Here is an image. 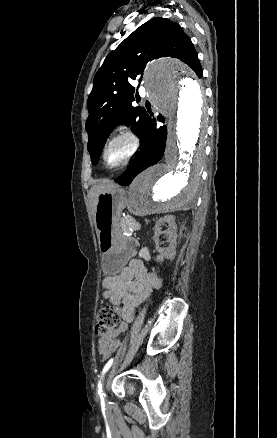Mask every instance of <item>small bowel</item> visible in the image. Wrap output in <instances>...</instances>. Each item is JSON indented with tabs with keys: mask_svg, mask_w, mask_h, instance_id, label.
<instances>
[{
	"mask_svg": "<svg viewBox=\"0 0 277 438\" xmlns=\"http://www.w3.org/2000/svg\"><path fill=\"white\" fill-rule=\"evenodd\" d=\"M137 253L138 257L131 258L119 273L106 276L102 282L105 288L103 297L113 306H121L120 323L99 341L98 349L103 356H109L112 353L116 347L114 341L134 319L137 307L161 285L157 274L148 271L145 267L144 261L150 259L148 250L140 248Z\"/></svg>",
	"mask_w": 277,
	"mask_h": 438,
	"instance_id": "1",
	"label": "small bowel"
}]
</instances>
